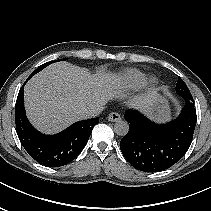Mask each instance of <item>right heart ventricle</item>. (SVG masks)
Returning a JSON list of instances; mask_svg holds the SVG:
<instances>
[{
	"instance_id": "right-heart-ventricle-1",
	"label": "right heart ventricle",
	"mask_w": 211,
	"mask_h": 211,
	"mask_svg": "<svg viewBox=\"0 0 211 211\" xmlns=\"http://www.w3.org/2000/svg\"><path fill=\"white\" fill-rule=\"evenodd\" d=\"M145 75L137 69H128L120 77V84L125 89L139 87L144 81Z\"/></svg>"
}]
</instances>
